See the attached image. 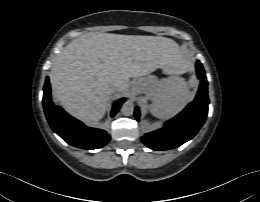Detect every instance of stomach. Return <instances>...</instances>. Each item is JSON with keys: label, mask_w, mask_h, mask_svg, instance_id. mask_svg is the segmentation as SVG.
I'll use <instances>...</instances> for the list:
<instances>
[{"label": "stomach", "mask_w": 260, "mask_h": 202, "mask_svg": "<svg viewBox=\"0 0 260 202\" xmlns=\"http://www.w3.org/2000/svg\"><path fill=\"white\" fill-rule=\"evenodd\" d=\"M160 86V80L154 75H149L139 78L134 84V89L137 93L144 94L148 98H153Z\"/></svg>", "instance_id": "1"}]
</instances>
